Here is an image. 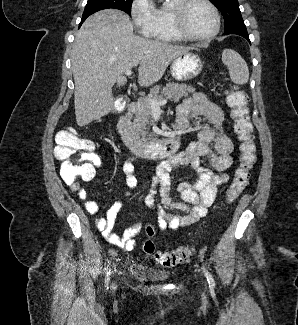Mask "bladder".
I'll return each mask as SVG.
<instances>
[{
  "label": "bladder",
  "instance_id": "bladder-1",
  "mask_svg": "<svg viewBox=\"0 0 298 325\" xmlns=\"http://www.w3.org/2000/svg\"><path fill=\"white\" fill-rule=\"evenodd\" d=\"M129 273L132 277L146 282H160L170 277L167 270L156 269L139 261L130 264Z\"/></svg>",
  "mask_w": 298,
  "mask_h": 325
}]
</instances>
